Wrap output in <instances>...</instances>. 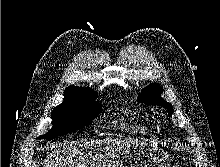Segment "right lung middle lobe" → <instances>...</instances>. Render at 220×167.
Listing matches in <instances>:
<instances>
[{
  "label": "right lung middle lobe",
  "mask_w": 220,
  "mask_h": 167,
  "mask_svg": "<svg viewBox=\"0 0 220 167\" xmlns=\"http://www.w3.org/2000/svg\"><path fill=\"white\" fill-rule=\"evenodd\" d=\"M101 112V105L95 100L66 101L55 107L51 113L52 129L39 139H53L83 128Z\"/></svg>",
  "instance_id": "dd1d6c3e"
}]
</instances>
